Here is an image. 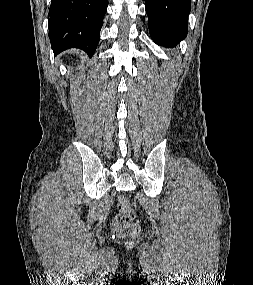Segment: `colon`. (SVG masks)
<instances>
[{"label":"colon","mask_w":253,"mask_h":285,"mask_svg":"<svg viewBox=\"0 0 253 285\" xmlns=\"http://www.w3.org/2000/svg\"><path fill=\"white\" fill-rule=\"evenodd\" d=\"M118 214L113 220L114 231L121 236L137 237L140 233V227L135 222V211L132 208L130 200L121 195L118 198Z\"/></svg>","instance_id":"colon-1"}]
</instances>
